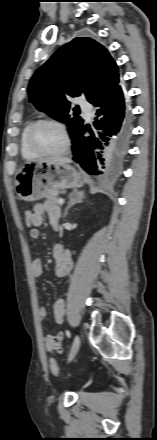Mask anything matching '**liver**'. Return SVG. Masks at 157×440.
Here are the masks:
<instances>
[{
    "instance_id": "6515ba94",
    "label": "liver",
    "mask_w": 157,
    "mask_h": 440,
    "mask_svg": "<svg viewBox=\"0 0 157 440\" xmlns=\"http://www.w3.org/2000/svg\"><path fill=\"white\" fill-rule=\"evenodd\" d=\"M45 161H47V162H49V163H52V164H63V163H71V159H69V158H67V157H60V158H52V159H48V160H45Z\"/></svg>"
}]
</instances>
